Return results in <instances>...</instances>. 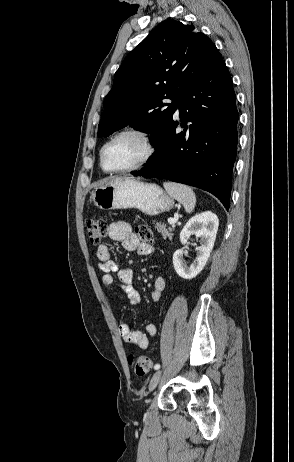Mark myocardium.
<instances>
[{"label":"myocardium","instance_id":"myocardium-1","mask_svg":"<svg viewBox=\"0 0 294 462\" xmlns=\"http://www.w3.org/2000/svg\"><path fill=\"white\" fill-rule=\"evenodd\" d=\"M124 135H134V136L139 137L144 142V145L146 148L145 153L140 158L139 161H137L135 164L129 167L122 168V169H116V170H109L104 166L105 149L107 148L108 145H110L117 138L124 136ZM156 152H157L156 141H155L154 135L149 130L140 128V127H126L116 132L102 145L100 149V153H99L100 167L102 168L104 172L110 173V174L133 172V171H136V170H139L145 167L153 159Z\"/></svg>","mask_w":294,"mask_h":462}]
</instances>
